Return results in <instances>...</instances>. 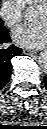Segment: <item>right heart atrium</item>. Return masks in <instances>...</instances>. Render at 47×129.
I'll return each instance as SVG.
<instances>
[{
    "instance_id": "1",
    "label": "right heart atrium",
    "mask_w": 47,
    "mask_h": 129,
    "mask_svg": "<svg viewBox=\"0 0 47 129\" xmlns=\"http://www.w3.org/2000/svg\"><path fill=\"white\" fill-rule=\"evenodd\" d=\"M25 6L21 0H2L0 16L10 28L18 26L24 17Z\"/></svg>"
}]
</instances>
